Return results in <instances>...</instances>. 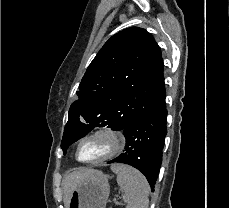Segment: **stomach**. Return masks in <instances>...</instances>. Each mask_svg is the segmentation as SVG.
I'll use <instances>...</instances> for the list:
<instances>
[{
  "label": "stomach",
  "mask_w": 229,
  "mask_h": 208,
  "mask_svg": "<svg viewBox=\"0 0 229 208\" xmlns=\"http://www.w3.org/2000/svg\"><path fill=\"white\" fill-rule=\"evenodd\" d=\"M109 176H100L95 180H84L75 186L68 208H106L110 188Z\"/></svg>",
  "instance_id": "0dacf381"
}]
</instances>
